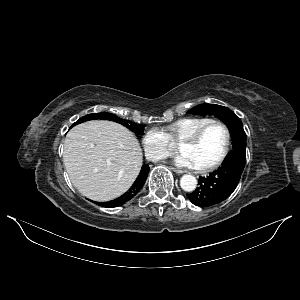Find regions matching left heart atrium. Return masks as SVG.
<instances>
[{"label":"left heart atrium","mask_w":300,"mask_h":300,"mask_svg":"<svg viewBox=\"0 0 300 300\" xmlns=\"http://www.w3.org/2000/svg\"><path fill=\"white\" fill-rule=\"evenodd\" d=\"M174 163L179 167L196 168L191 157L185 153L180 154L174 159Z\"/></svg>","instance_id":"left-heart-atrium-1"}]
</instances>
